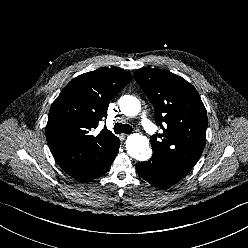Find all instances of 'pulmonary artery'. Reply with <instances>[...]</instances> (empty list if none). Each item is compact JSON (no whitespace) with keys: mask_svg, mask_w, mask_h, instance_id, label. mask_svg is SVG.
Returning a JSON list of instances; mask_svg holds the SVG:
<instances>
[{"mask_svg":"<svg viewBox=\"0 0 248 248\" xmlns=\"http://www.w3.org/2000/svg\"><path fill=\"white\" fill-rule=\"evenodd\" d=\"M141 123H142V126L144 128V130L153 135L156 131L155 129V126L152 124V122L148 119L146 113H143L142 114V117H141Z\"/></svg>","mask_w":248,"mask_h":248,"instance_id":"pulmonary-artery-1","label":"pulmonary artery"}]
</instances>
